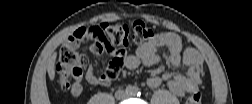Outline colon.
<instances>
[{"mask_svg":"<svg viewBox=\"0 0 252 104\" xmlns=\"http://www.w3.org/2000/svg\"><path fill=\"white\" fill-rule=\"evenodd\" d=\"M153 36V30L142 21L79 28L61 48L55 63L60 89L71 92L80 89L83 69L88 62L87 57L79 50L81 44L93 40L102 53L112 55L106 74L109 78L115 79L122 67V57L125 52L132 46L152 39ZM200 101L199 91H195L188 97L190 104H198Z\"/></svg>","mask_w":252,"mask_h":104,"instance_id":"1","label":"colon"}]
</instances>
